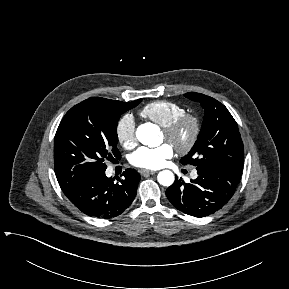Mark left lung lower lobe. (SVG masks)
<instances>
[{
	"label": "left lung lower lobe",
	"instance_id": "obj_1",
	"mask_svg": "<svg viewBox=\"0 0 289 289\" xmlns=\"http://www.w3.org/2000/svg\"><path fill=\"white\" fill-rule=\"evenodd\" d=\"M191 183L175 180L166 190L168 200L180 211L205 217L221 209L233 196L242 175L241 168L212 164L197 167Z\"/></svg>",
	"mask_w": 289,
	"mask_h": 289
}]
</instances>
